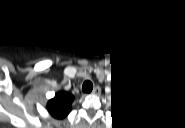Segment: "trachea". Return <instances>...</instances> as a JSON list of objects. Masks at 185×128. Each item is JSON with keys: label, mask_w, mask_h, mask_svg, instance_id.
<instances>
[{"label": "trachea", "mask_w": 185, "mask_h": 128, "mask_svg": "<svg viewBox=\"0 0 185 128\" xmlns=\"http://www.w3.org/2000/svg\"><path fill=\"white\" fill-rule=\"evenodd\" d=\"M82 88L85 92H90L93 89V83L87 80L83 83Z\"/></svg>", "instance_id": "obj_1"}]
</instances>
